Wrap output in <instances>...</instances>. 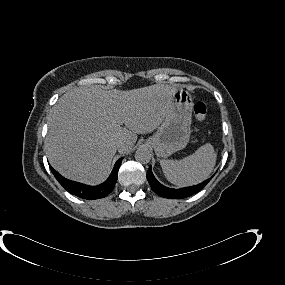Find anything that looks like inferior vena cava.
Returning a JSON list of instances; mask_svg holds the SVG:
<instances>
[{
    "instance_id": "obj_1",
    "label": "inferior vena cava",
    "mask_w": 285,
    "mask_h": 285,
    "mask_svg": "<svg viewBox=\"0 0 285 285\" xmlns=\"http://www.w3.org/2000/svg\"><path fill=\"white\" fill-rule=\"evenodd\" d=\"M123 146V143H117L116 147L119 149Z\"/></svg>"
}]
</instances>
